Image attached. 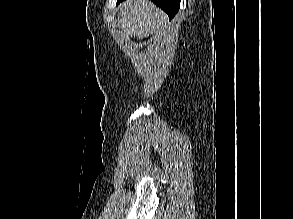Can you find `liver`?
Here are the masks:
<instances>
[{
	"instance_id": "liver-1",
	"label": "liver",
	"mask_w": 293,
	"mask_h": 219,
	"mask_svg": "<svg viewBox=\"0 0 293 219\" xmlns=\"http://www.w3.org/2000/svg\"><path fill=\"white\" fill-rule=\"evenodd\" d=\"M167 19L149 0H127L119 6L117 21L122 34L143 39L159 30Z\"/></svg>"
}]
</instances>
